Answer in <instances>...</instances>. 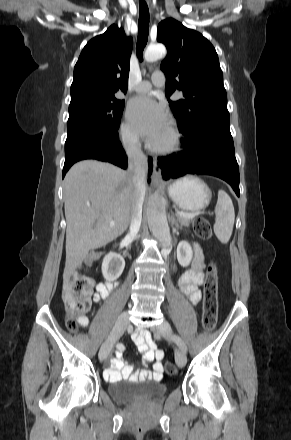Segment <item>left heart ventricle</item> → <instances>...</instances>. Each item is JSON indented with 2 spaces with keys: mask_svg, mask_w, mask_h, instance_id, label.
Wrapping results in <instances>:
<instances>
[{
  "mask_svg": "<svg viewBox=\"0 0 291 440\" xmlns=\"http://www.w3.org/2000/svg\"><path fill=\"white\" fill-rule=\"evenodd\" d=\"M169 137H170V135H169V129H168V130L165 131V132L161 135V137H160L158 140H156L154 143H156V144H162V143H165V142L168 141Z\"/></svg>",
  "mask_w": 291,
  "mask_h": 440,
  "instance_id": "b2bd125f",
  "label": "left heart ventricle"
}]
</instances>
